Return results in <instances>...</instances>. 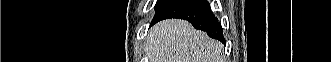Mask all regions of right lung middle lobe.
<instances>
[{"label":"right lung middle lobe","instance_id":"1","mask_svg":"<svg viewBox=\"0 0 331 62\" xmlns=\"http://www.w3.org/2000/svg\"><path fill=\"white\" fill-rule=\"evenodd\" d=\"M177 1L178 0H157L156 5H155L156 13H155L154 18L158 17L161 13H163L167 8H169L171 5H173Z\"/></svg>","mask_w":331,"mask_h":62}]
</instances>
